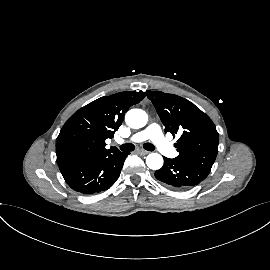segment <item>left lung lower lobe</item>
<instances>
[{
    "label": "left lung lower lobe",
    "instance_id": "0a47b994",
    "mask_svg": "<svg viewBox=\"0 0 270 270\" xmlns=\"http://www.w3.org/2000/svg\"><path fill=\"white\" fill-rule=\"evenodd\" d=\"M209 173L193 163L164 157V165L155 172V177L170 188L186 190L198 185Z\"/></svg>",
    "mask_w": 270,
    "mask_h": 270
}]
</instances>
